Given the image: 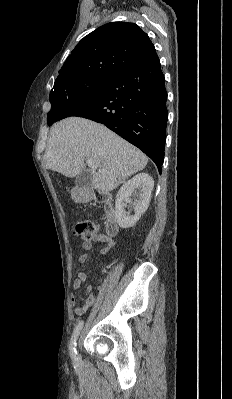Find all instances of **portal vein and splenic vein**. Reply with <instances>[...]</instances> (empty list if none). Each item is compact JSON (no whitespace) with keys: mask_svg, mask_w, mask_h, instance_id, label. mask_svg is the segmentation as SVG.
Wrapping results in <instances>:
<instances>
[{"mask_svg":"<svg viewBox=\"0 0 232 399\" xmlns=\"http://www.w3.org/2000/svg\"><path fill=\"white\" fill-rule=\"evenodd\" d=\"M86 164H88V166H91V168H96L95 162H91V160H86ZM98 172H101V170H98Z\"/></svg>","mask_w":232,"mask_h":399,"instance_id":"obj_1","label":"portal vein and splenic vein"}]
</instances>
